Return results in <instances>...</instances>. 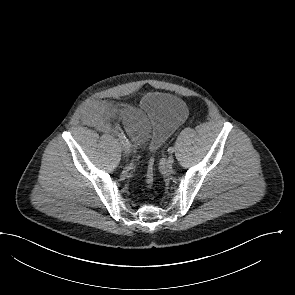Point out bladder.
<instances>
[{
    "mask_svg": "<svg viewBox=\"0 0 295 295\" xmlns=\"http://www.w3.org/2000/svg\"><path fill=\"white\" fill-rule=\"evenodd\" d=\"M140 109L152 125V134L148 142V147L152 151L157 150L188 115L187 106L182 99L164 92H152L145 95Z\"/></svg>",
    "mask_w": 295,
    "mask_h": 295,
    "instance_id": "1",
    "label": "bladder"
}]
</instances>
